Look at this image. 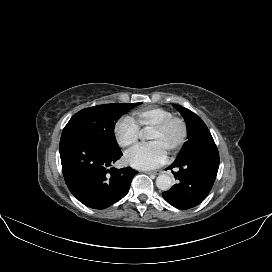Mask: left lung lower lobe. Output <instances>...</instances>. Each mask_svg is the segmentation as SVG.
I'll list each match as a JSON object with an SVG mask.
<instances>
[{"mask_svg":"<svg viewBox=\"0 0 272 272\" xmlns=\"http://www.w3.org/2000/svg\"><path fill=\"white\" fill-rule=\"evenodd\" d=\"M219 167V153L215 144L205 146L178 158L167 169L178 180L163 198L178 209H189L200 204L209 194Z\"/></svg>","mask_w":272,"mask_h":272,"instance_id":"1","label":"left lung lower lobe"}]
</instances>
